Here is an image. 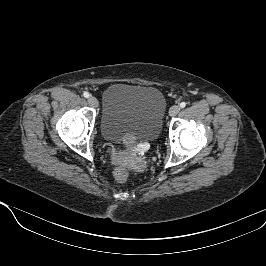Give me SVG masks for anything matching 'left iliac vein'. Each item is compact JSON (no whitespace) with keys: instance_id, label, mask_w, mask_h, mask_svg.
Segmentation results:
<instances>
[{"instance_id":"obj_1","label":"left iliac vein","mask_w":266,"mask_h":266,"mask_svg":"<svg viewBox=\"0 0 266 266\" xmlns=\"http://www.w3.org/2000/svg\"><path fill=\"white\" fill-rule=\"evenodd\" d=\"M180 111V107L178 105H173L170 110H169V115L170 116H176Z\"/></svg>"}]
</instances>
